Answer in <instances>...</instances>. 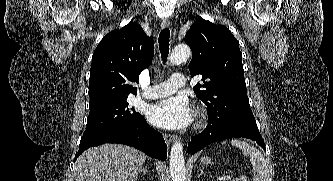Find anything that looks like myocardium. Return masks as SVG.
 Listing matches in <instances>:
<instances>
[{"mask_svg": "<svg viewBox=\"0 0 333 181\" xmlns=\"http://www.w3.org/2000/svg\"><path fill=\"white\" fill-rule=\"evenodd\" d=\"M198 119H199V125H202L206 119V111L204 109H200L198 111Z\"/></svg>", "mask_w": 333, "mask_h": 181, "instance_id": "obj_1", "label": "myocardium"}]
</instances>
